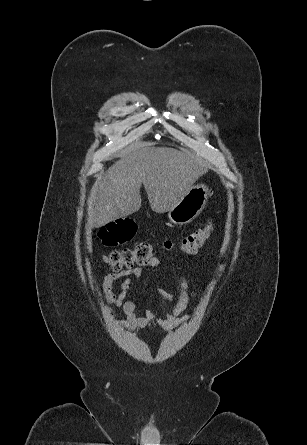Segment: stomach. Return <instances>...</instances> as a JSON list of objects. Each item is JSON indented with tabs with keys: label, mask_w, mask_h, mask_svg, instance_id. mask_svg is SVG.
<instances>
[{
	"label": "stomach",
	"mask_w": 307,
	"mask_h": 445,
	"mask_svg": "<svg viewBox=\"0 0 307 445\" xmlns=\"http://www.w3.org/2000/svg\"><path fill=\"white\" fill-rule=\"evenodd\" d=\"M209 196V188L206 184H193L185 196L180 198L179 202L168 210V218L173 225H187L192 223L203 210L207 198Z\"/></svg>",
	"instance_id": "1"
}]
</instances>
